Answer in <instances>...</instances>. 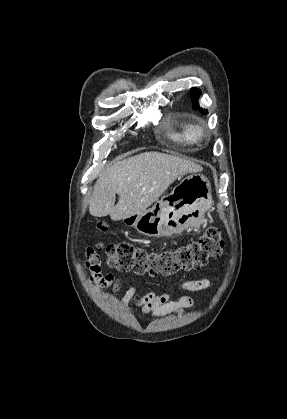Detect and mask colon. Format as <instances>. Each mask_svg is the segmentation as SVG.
<instances>
[{
    "instance_id": "5ec220e1",
    "label": "colon",
    "mask_w": 287,
    "mask_h": 419,
    "mask_svg": "<svg viewBox=\"0 0 287 419\" xmlns=\"http://www.w3.org/2000/svg\"><path fill=\"white\" fill-rule=\"evenodd\" d=\"M107 228L106 222L98 223L99 231L104 232ZM223 247L224 240L216 226L207 228L197 241L170 251H150L127 243L97 245L98 250L105 252L111 267L149 276H171L181 271L198 270L210 259L220 256Z\"/></svg>"
}]
</instances>
